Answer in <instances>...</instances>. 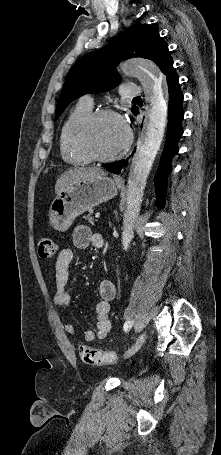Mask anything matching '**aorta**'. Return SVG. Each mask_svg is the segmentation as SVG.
I'll use <instances>...</instances> for the list:
<instances>
[{"label":"aorta","mask_w":221,"mask_h":455,"mask_svg":"<svg viewBox=\"0 0 221 455\" xmlns=\"http://www.w3.org/2000/svg\"><path fill=\"white\" fill-rule=\"evenodd\" d=\"M120 68L126 75L136 76L140 80L148 102V112L127 183V204L122 231V245L124 250H127L143 200L146 180L164 137L168 104L164 75L153 62L139 59L123 63Z\"/></svg>","instance_id":"762f6f07"}]
</instances>
